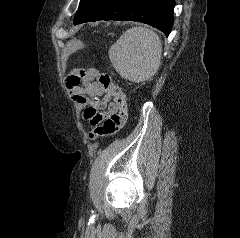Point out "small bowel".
I'll use <instances>...</instances> for the list:
<instances>
[{
	"label": "small bowel",
	"mask_w": 240,
	"mask_h": 238,
	"mask_svg": "<svg viewBox=\"0 0 240 238\" xmlns=\"http://www.w3.org/2000/svg\"><path fill=\"white\" fill-rule=\"evenodd\" d=\"M66 86L72 99L84 107L83 118L92 126L118 111L112 96L95 80L93 69H72Z\"/></svg>",
	"instance_id": "small-bowel-1"
}]
</instances>
